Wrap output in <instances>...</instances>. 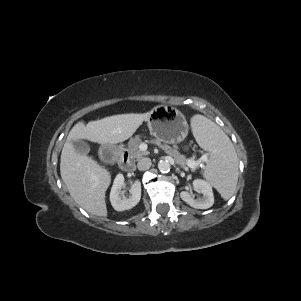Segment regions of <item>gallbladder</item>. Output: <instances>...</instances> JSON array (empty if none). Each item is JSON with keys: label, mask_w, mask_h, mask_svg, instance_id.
I'll return each mask as SVG.
<instances>
[{"label": "gallbladder", "mask_w": 301, "mask_h": 301, "mask_svg": "<svg viewBox=\"0 0 301 301\" xmlns=\"http://www.w3.org/2000/svg\"><path fill=\"white\" fill-rule=\"evenodd\" d=\"M72 145L75 151L81 155H87L90 151L89 145L83 140H74L72 141Z\"/></svg>", "instance_id": "gallbladder-1"}]
</instances>
